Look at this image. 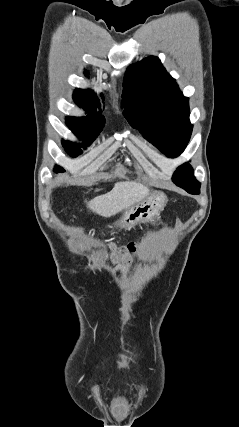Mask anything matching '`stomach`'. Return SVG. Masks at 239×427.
I'll return each mask as SVG.
<instances>
[{"label": "stomach", "instance_id": "1", "mask_svg": "<svg viewBox=\"0 0 239 427\" xmlns=\"http://www.w3.org/2000/svg\"><path fill=\"white\" fill-rule=\"evenodd\" d=\"M167 203V197L163 192H154L142 202L128 209L118 225L130 229L137 223H144L154 219Z\"/></svg>", "mask_w": 239, "mask_h": 427}]
</instances>
